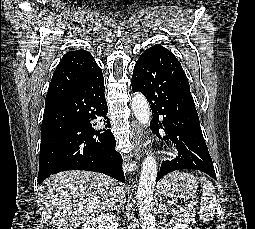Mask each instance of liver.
Masks as SVG:
<instances>
[{
    "label": "liver",
    "instance_id": "6515ba94",
    "mask_svg": "<svg viewBox=\"0 0 255 229\" xmlns=\"http://www.w3.org/2000/svg\"><path fill=\"white\" fill-rule=\"evenodd\" d=\"M123 187L115 179L90 171H65L46 179L40 199L56 229H76L111 209Z\"/></svg>",
    "mask_w": 255,
    "mask_h": 229
}]
</instances>
